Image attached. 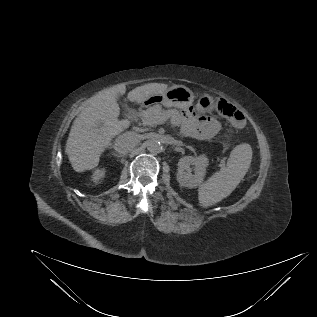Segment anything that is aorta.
<instances>
[{
    "label": "aorta",
    "mask_w": 317,
    "mask_h": 317,
    "mask_svg": "<svg viewBox=\"0 0 317 317\" xmlns=\"http://www.w3.org/2000/svg\"><path fill=\"white\" fill-rule=\"evenodd\" d=\"M147 150L152 154H158L162 150V145L158 140H149L147 142Z\"/></svg>",
    "instance_id": "aorta-1"
}]
</instances>
